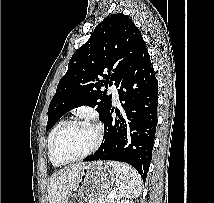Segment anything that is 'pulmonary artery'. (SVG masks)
I'll use <instances>...</instances> for the list:
<instances>
[{
	"instance_id": "e3ab8cb5",
	"label": "pulmonary artery",
	"mask_w": 214,
	"mask_h": 203,
	"mask_svg": "<svg viewBox=\"0 0 214 203\" xmlns=\"http://www.w3.org/2000/svg\"><path fill=\"white\" fill-rule=\"evenodd\" d=\"M110 93L112 94V98L114 102H118L119 100V93H118V87L115 84H112L110 86Z\"/></svg>"
}]
</instances>
